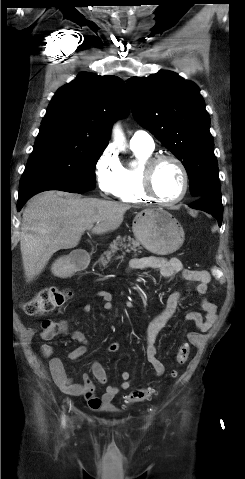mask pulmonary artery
Returning <instances> with one entry per match:
<instances>
[{
	"instance_id": "e3ab8cb5",
	"label": "pulmonary artery",
	"mask_w": 245,
	"mask_h": 479,
	"mask_svg": "<svg viewBox=\"0 0 245 479\" xmlns=\"http://www.w3.org/2000/svg\"><path fill=\"white\" fill-rule=\"evenodd\" d=\"M131 146L142 147L146 149H154V141L151 135L143 130L136 131L131 139H130Z\"/></svg>"
}]
</instances>
